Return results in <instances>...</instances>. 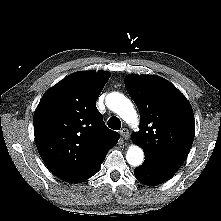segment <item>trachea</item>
<instances>
[{
	"mask_svg": "<svg viewBox=\"0 0 221 221\" xmlns=\"http://www.w3.org/2000/svg\"><path fill=\"white\" fill-rule=\"evenodd\" d=\"M108 127L113 130H119L121 128V121L117 117H111L108 122Z\"/></svg>",
	"mask_w": 221,
	"mask_h": 221,
	"instance_id": "1",
	"label": "trachea"
}]
</instances>
